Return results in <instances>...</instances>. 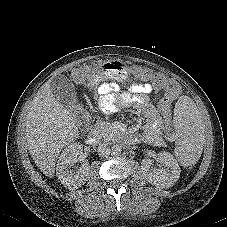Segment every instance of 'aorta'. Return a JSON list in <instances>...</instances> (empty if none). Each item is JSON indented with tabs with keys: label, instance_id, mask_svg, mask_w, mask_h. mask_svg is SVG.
<instances>
[{
	"label": "aorta",
	"instance_id": "aorta-1",
	"mask_svg": "<svg viewBox=\"0 0 227 227\" xmlns=\"http://www.w3.org/2000/svg\"><path fill=\"white\" fill-rule=\"evenodd\" d=\"M121 151H122V148H121L120 145H114V146L112 147V153H113L114 155L120 154Z\"/></svg>",
	"mask_w": 227,
	"mask_h": 227
}]
</instances>
